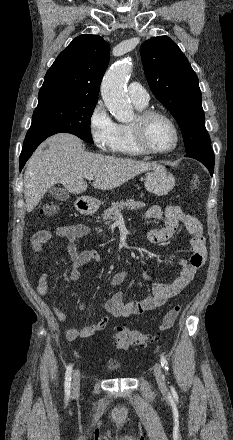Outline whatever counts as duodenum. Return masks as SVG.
I'll return each instance as SVG.
<instances>
[{
  "mask_svg": "<svg viewBox=\"0 0 233 440\" xmlns=\"http://www.w3.org/2000/svg\"><path fill=\"white\" fill-rule=\"evenodd\" d=\"M79 209L84 215H91L94 210L88 205L86 201H82L79 203Z\"/></svg>",
  "mask_w": 233,
  "mask_h": 440,
  "instance_id": "obj_1",
  "label": "duodenum"
}]
</instances>
